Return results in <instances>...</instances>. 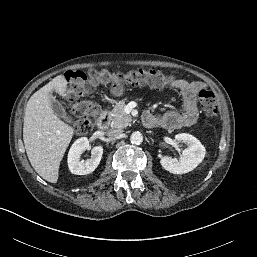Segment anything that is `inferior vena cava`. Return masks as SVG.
I'll use <instances>...</instances> for the list:
<instances>
[{
    "mask_svg": "<svg viewBox=\"0 0 257 257\" xmlns=\"http://www.w3.org/2000/svg\"><path fill=\"white\" fill-rule=\"evenodd\" d=\"M123 131L120 129H110L107 131V136L110 138H119Z\"/></svg>",
    "mask_w": 257,
    "mask_h": 257,
    "instance_id": "602c4592",
    "label": "inferior vena cava"
}]
</instances>
